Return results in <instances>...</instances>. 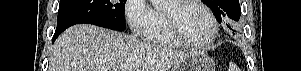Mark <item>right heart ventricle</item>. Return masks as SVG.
I'll return each instance as SVG.
<instances>
[{
	"label": "right heart ventricle",
	"mask_w": 301,
	"mask_h": 71,
	"mask_svg": "<svg viewBox=\"0 0 301 71\" xmlns=\"http://www.w3.org/2000/svg\"><path fill=\"white\" fill-rule=\"evenodd\" d=\"M144 39L146 42L160 46L180 47L182 45L170 33L164 14L159 8L153 10V18L144 34Z\"/></svg>",
	"instance_id": "1"
}]
</instances>
